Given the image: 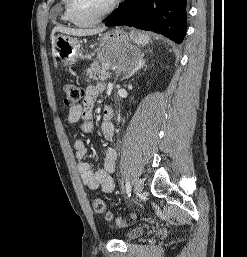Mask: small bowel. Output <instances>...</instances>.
I'll use <instances>...</instances> for the list:
<instances>
[{
	"mask_svg": "<svg viewBox=\"0 0 247 257\" xmlns=\"http://www.w3.org/2000/svg\"><path fill=\"white\" fill-rule=\"evenodd\" d=\"M105 90V85L99 83L97 85L88 86L84 92V99L81 104L71 107L68 113L67 122L69 124H80V128L84 132H92L94 123L92 120V109L100 92ZM112 110L105 107L103 120L100 125L102 136L106 140L113 139L115 135V127L111 122ZM75 156L79 161L77 169L80 173L83 184L91 190H101L104 193L114 191V181L111 174L115 170L117 152L114 148H107L104 154L103 167L93 170L89 162L85 161L88 149L82 140H76L73 144Z\"/></svg>",
	"mask_w": 247,
	"mask_h": 257,
	"instance_id": "c3829d8e",
	"label": "small bowel"
}]
</instances>
